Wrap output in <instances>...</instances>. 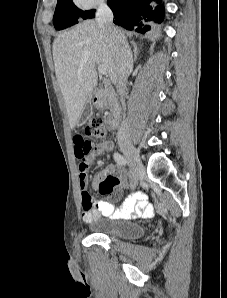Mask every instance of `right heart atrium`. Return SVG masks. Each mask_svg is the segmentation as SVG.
Segmentation results:
<instances>
[{
	"label": "right heart atrium",
	"instance_id": "1",
	"mask_svg": "<svg viewBox=\"0 0 227 298\" xmlns=\"http://www.w3.org/2000/svg\"><path fill=\"white\" fill-rule=\"evenodd\" d=\"M104 0H73V3L82 10H89L102 4Z\"/></svg>",
	"mask_w": 227,
	"mask_h": 298
}]
</instances>
